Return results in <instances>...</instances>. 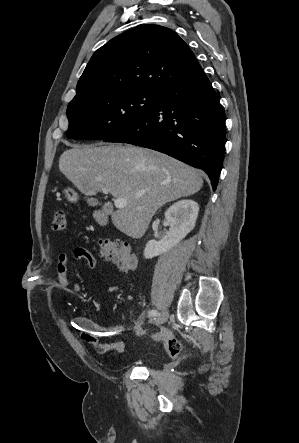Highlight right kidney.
<instances>
[{
  "instance_id": "ca27d5eb",
  "label": "right kidney",
  "mask_w": 299,
  "mask_h": 443,
  "mask_svg": "<svg viewBox=\"0 0 299 443\" xmlns=\"http://www.w3.org/2000/svg\"><path fill=\"white\" fill-rule=\"evenodd\" d=\"M198 212V204L189 199L180 200L170 206L165 212L169 232L160 241L149 240L144 257L151 259L176 246L195 227Z\"/></svg>"
}]
</instances>
